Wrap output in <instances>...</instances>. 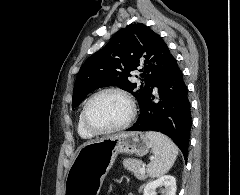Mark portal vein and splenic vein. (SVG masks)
Here are the masks:
<instances>
[{"label": "portal vein and splenic vein", "instance_id": "1", "mask_svg": "<svg viewBox=\"0 0 240 195\" xmlns=\"http://www.w3.org/2000/svg\"><path fill=\"white\" fill-rule=\"evenodd\" d=\"M140 171H145L144 165H143V167H141Z\"/></svg>", "mask_w": 240, "mask_h": 195}]
</instances>
